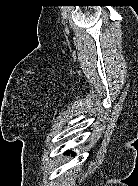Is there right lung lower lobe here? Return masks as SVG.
<instances>
[{"label":"right lung lower lobe","instance_id":"98d812e1","mask_svg":"<svg viewBox=\"0 0 138 186\" xmlns=\"http://www.w3.org/2000/svg\"><path fill=\"white\" fill-rule=\"evenodd\" d=\"M68 154H70V151L68 152ZM72 155H74V153H72Z\"/></svg>","mask_w":138,"mask_h":186}]
</instances>
